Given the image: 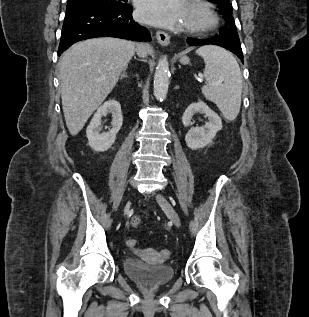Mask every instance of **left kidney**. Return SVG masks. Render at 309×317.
Instances as JSON below:
<instances>
[{
	"instance_id": "left-kidney-1",
	"label": "left kidney",
	"mask_w": 309,
	"mask_h": 317,
	"mask_svg": "<svg viewBox=\"0 0 309 317\" xmlns=\"http://www.w3.org/2000/svg\"><path fill=\"white\" fill-rule=\"evenodd\" d=\"M196 113L205 114L208 122L203 127H191L185 136L187 146L192 150L204 148L210 144L216 133L222 129L221 118L211 110L203 101L190 104L182 116L185 127L192 124V118Z\"/></svg>"
}]
</instances>
